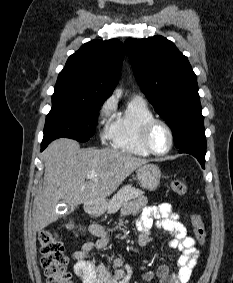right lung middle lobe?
<instances>
[{
	"mask_svg": "<svg viewBox=\"0 0 233 283\" xmlns=\"http://www.w3.org/2000/svg\"><path fill=\"white\" fill-rule=\"evenodd\" d=\"M102 104L68 90L55 89L42 142L49 144L60 137L88 141L95 134L97 115Z\"/></svg>",
	"mask_w": 233,
	"mask_h": 283,
	"instance_id": "obj_1",
	"label": "right lung middle lobe"
}]
</instances>
